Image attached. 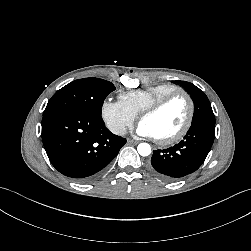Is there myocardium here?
<instances>
[{"mask_svg": "<svg viewBox=\"0 0 251 251\" xmlns=\"http://www.w3.org/2000/svg\"><path fill=\"white\" fill-rule=\"evenodd\" d=\"M177 96H182L187 101L188 113L186 120L183 126L175 134L166 138H155V141L160 145L174 144L179 140H181L188 133L192 125L195 112V105L191 95L183 89H177L164 95L163 97L158 99L156 102H154L152 105H150L148 108H146L139 114L138 120L139 122H141L144 118L152 116L157 112H159L165 105H167L172 99H174Z\"/></svg>", "mask_w": 251, "mask_h": 251, "instance_id": "f54148a6", "label": "myocardium"}]
</instances>
